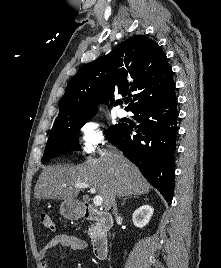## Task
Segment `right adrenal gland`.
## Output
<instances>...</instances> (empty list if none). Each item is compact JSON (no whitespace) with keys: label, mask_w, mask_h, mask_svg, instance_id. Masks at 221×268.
<instances>
[{"label":"right adrenal gland","mask_w":221,"mask_h":268,"mask_svg":"<svg viewBox=\"0 0 221 268\" xmlns=\"http://www.w3.org/2000/svg\"><path fill=\"white\" fill-rule=\"evenodd\" d=\"M131 197H132V196H129V197L124 198V200H123V202H122L121 206H123V205H124V203H125V201H126L128 198H131ZM134 198H138V196H134Z\"/></svg>","instance_id":"obj_1"}]
</instances>
